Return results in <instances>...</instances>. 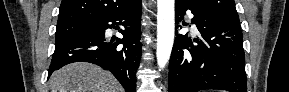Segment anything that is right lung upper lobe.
I'll return each instance as SVG.
<instances>
[{"label":"right lung upper lobe","mask_w":289,"mask_h":92,"mask_svg":"<svg viewBox=\"0 0 289 92\" xmlns=\"http://www.w3.org/2000/svg\"><path fill=\"white\" fill-rule=\"evenodd\" d=\"M136 0H62L57 25L95 22L129 8Z\"/></svg>","instance_id":"1"}]
</instances>
